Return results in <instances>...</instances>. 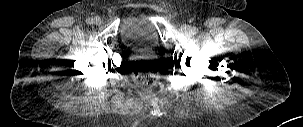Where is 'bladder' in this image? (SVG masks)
<instances>
[{"label":"bladder","mask_w":303,"mask_h":127,"mask_svg":"<svg viewBox=\"0 0 303 127\" xmlns=\"http://www.w3.org/2000/svg\"><path fill=\"white\" fill-rule=\"evenodd\" d=\"M122 40L130 46L154 48L159 44V37L153 21L145 14L133 12L127 15L120 29Z\"/></svg>","instance_id":"bladder-1"}]
</instances>
